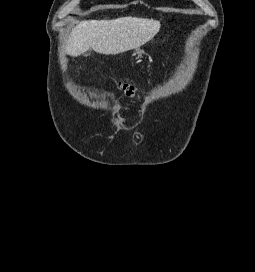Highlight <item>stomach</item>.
<instances>
[{"mask_svg":"<svg viewBox=\"0 0 255 272\" xmlns=\"http://www.w3.org/2000/svg\"><path fill=\"white\" fill-rule=\"evenodd\" d=\"M142 54H144V51L142 49H135L133 55L134 56H137L138 58H141L142 57Z\"/></svg>","mask_w":255,"mask_h":272,"instance_id":"obj_1","label":"stomach"}]
</instances>
